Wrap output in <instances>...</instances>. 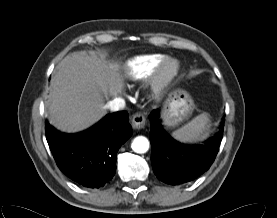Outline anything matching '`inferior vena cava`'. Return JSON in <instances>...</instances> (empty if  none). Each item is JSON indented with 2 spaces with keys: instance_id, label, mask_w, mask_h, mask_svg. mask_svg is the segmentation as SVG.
Masks as SVG:
<instances>
[{
  "instance_id": "602c4592",
  "label": "inferior vena cava",
  "mask_w": 277,
  "mask_h": 218,
  "mask_svg": "<svg viewBox=\"0 0 277 218\" xmlns=\"http://www.w3.org/2000/svg\"><path fill=\"white\" fill-rule=\"evenodd\" d=\"M125 106H126L125 100L120 97H116L109 103V107L112 111L122 110L125 108Z\"/></svg>"
}]
</instances>
